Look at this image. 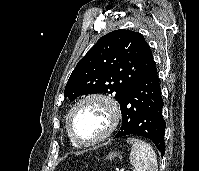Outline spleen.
Masks as SVG:
<instances>
[{
	"label": "spleen",
	"mask_w": 199,
	"mask_h": 171,
	"mask_svg": "<svg viewBox=\"0 0 199 171\" xmlns=\"http://www.w3.org/2000/svg\"><path fill=\"white\" fill-rule=\"evenodd\" d=\"M127 142L132 144L130 162L133 171H158L157 156L150 144L138 138H128Z\"/></svg>",
	"instance_id": "3e777b00"
}]
</instances>
